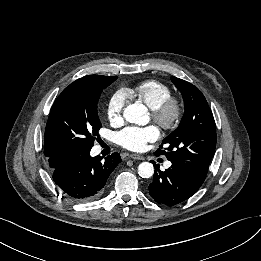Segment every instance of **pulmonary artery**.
<instances>
[{
  "label": "pulmonary artery",
  "instance_id": "e3ab8cb5",
  "mask_svg": "<svg viewBox=\"0 0 261 261\" xmlns=\"http://www.w3.org/2000/svg\"><path fill=\"white\" fill-rule=\"evenodd\" d=\"M170 166H171V163L168 162V163L166 164V167H170Z\"/></svg>",
  "mask_w": 261,
  "mask_h": 261
}]
</instances>
